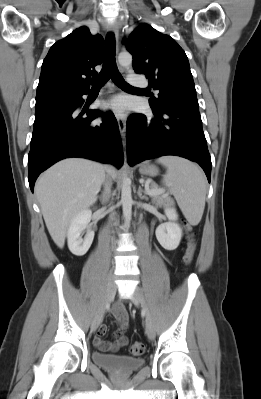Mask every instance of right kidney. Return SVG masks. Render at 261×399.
Wrapping results in <instances>:
<instances>
[{"label":"right kidney","instance_id":"right-kidney-1","mask_svg":"<svg viewBox=\"0 0 261 399\" xmlns=\"http://www.w3.org/2000/svg\"><path fill=\"white\" fill-rule=\"evenodd\" d=\"M92 211L85 209L79 212L74 218H72L68 231V248L72 254L76 256H83L89 250L93 239L94 231L89 229L88 224L91 220ZM86 231L85 238L82 239L81 233Z\"/></svg>","mask_w":261,"mask_h":399}]
</instances>
